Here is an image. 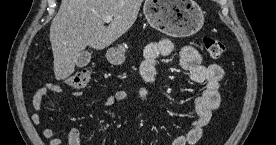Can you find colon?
Returning <instances> with one entry per match:
<instances>
[{
    "mask_svg": "<svg viewBox=\"0 0 276 145\" xmlns=\"http://www.w3.org/2000/svg\"><path fill=\"white\" fill-rule=\"evenodd\" d=\"M203 45L212 58H219L225 51V45L222 41L213 37H204ZM91 79V71L88 68H80L71 73L66 78V83L74 88L85 87Z\"/></svg>",
    "mask_w": 276,
    "mask_h": 145,
    "instance_id": "5ec220e1",
    "label": "colon"
}]
</instances>
